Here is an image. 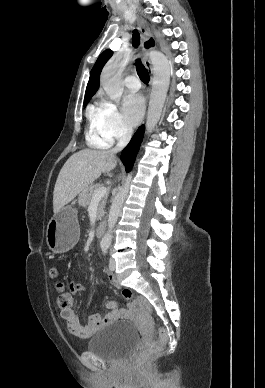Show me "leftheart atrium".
Returning a JSON list of instances; mask_svg holds the SVG:
<instances>
[{"instance_id": "obj_1", "label": "left heart atrium", "mask_w": 265, "mask_h": 388, "mask_svg": "<svg viewBox=\"0 0 265 388\" xmlns=\"http://www.w3.org/2000/svg\"><path fill=\"white\" fill-rule=\"evenodd\" d=\"M144 101L140 93L129 94L123 101V114L131 124H137L143 116Z\"/></svg>"}]
</instances>
